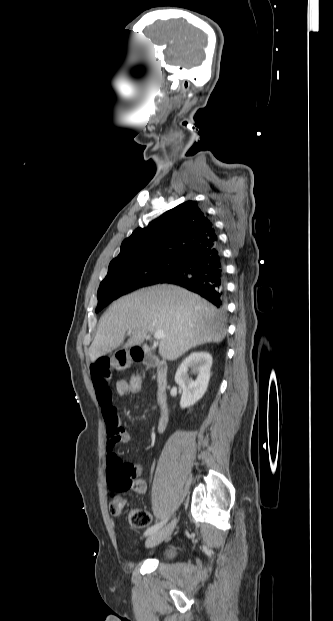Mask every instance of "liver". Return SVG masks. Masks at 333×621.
Masks as SVG:
<instances>
[{"instance_id":"1","label":"liver","mask_w":333,"mask_h":621,"mask_svg":"<svg viewBox=\"0 0 333 621\" xmlns=\"http://www.w3.org/2000/svg\"><path fill=\"white\" fill-rule=\"evenodd\" d=\"M129 329L133 333L123 348L141 345L147 333L162 330L159 354L171 361L226 335L224 317L213 305L180 287L156 285L118 299L103 314L89 348L91 362L120 347Z\"/></svg>"}]
</instances>
